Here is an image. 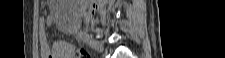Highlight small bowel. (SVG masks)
<instances>
[{"instance_id": "1", "label": "small bowel", "mask_w": 225, "mask_h": 58, "mask_svg": "<svg viewBox=\"0 0 225 58\" xmlns=\"http://www.w3.org/2000/svg\"><path fill=\"white\" fill-rule=\"evenodd\" d=\"M57 2L51 1L50 6L55 9ZM55 17L50 15L46 18V25L48 27L53 26ZM44 58H75V46L68 42H54L51 46L45 45L43 49Z\"/></svg>"}]
</instances>
